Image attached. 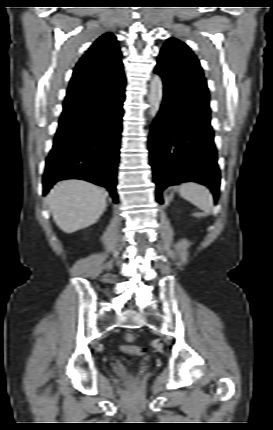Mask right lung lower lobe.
<instances>
[{
  "label": "right lung lower lobe",
  "instance_id": "obj_1",
  "mask_svg": "<svg viewBox=\"0 0 273 430\" xmlns=\"http://www.w3.org/2000/svg\"><path fill=\"white\" fill-rule=\"evenodd\" d=\"M124 86L125 82L103 85L89 94L90 100L79 112L59 121L46 160L44 194L55 182L75 178L107 188L113 201L118 202L116 176Z\"/></svg>",
  "mask_w": 273,
  "mask_h": 430
}]
</instances>
